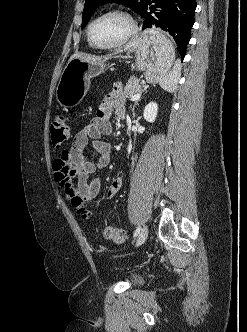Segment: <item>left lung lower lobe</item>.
I'll use <instances>...</instances> for the list:
<instances>
[{
  "mask_svg": "<svg viewBox=\"0 0 247 332\" xmlns=\"http://www.w3.org/2000/svg\"><path fill=\"white\" fill-rule=\"evenodd\" d=\"M150 3L151 0H145L140 13L145 19L143 28L156 26L168 32L183 58L194 24L196 0H153L154 5L149 6Z\"/></svg>",
  "mask_w": 247,
  "mask_h": 332,
  "instance_id": "1",
  "label": "left lung lower lobe"
}]
</instances>
